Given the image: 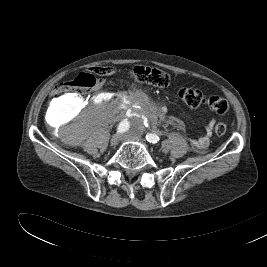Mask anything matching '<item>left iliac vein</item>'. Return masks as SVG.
I'll return each mask as SVG.
<instances>
[{"label":"left iliac vein","instance_id":"1","mask_svg":"<svg viewBox=\"0 0 267 267\" xmlns=\"http://www.w3.org/2000/svg\"><path fill=\"white\" fill-rule=\"evenodd\" d=\"M126 138L128 139H132V140H136V141H139L141 143H143V140L140 139L136 134L134 133H131L130 135H128Z\"/></svg>","mask_w":267,"mask_h":267}]
</instances>
